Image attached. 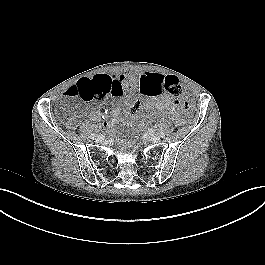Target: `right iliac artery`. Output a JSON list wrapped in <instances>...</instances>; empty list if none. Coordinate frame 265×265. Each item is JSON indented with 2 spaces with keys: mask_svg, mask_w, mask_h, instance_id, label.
I'll return each instance as SVG.
<instances>
[{
  "mask_svg": "<svg viewBox=\"0 0 265 265\" xmlns=\"http://www.w3.org/2000/svg\"><path fill=\"white\" fill-rule=\"evenodd\" d=\"M96 137H97V134H95V133L91 134V136H90V138L93 140L96 139Z\"/></svg>",
  "mask_w": 265,
  "mask_h": 265,
  "instance_id": "obj_1",
  "label": "right iliac artery"
}]
</instances>
